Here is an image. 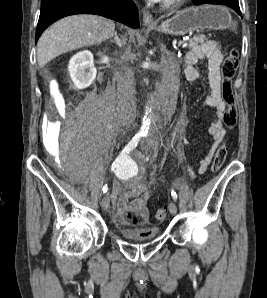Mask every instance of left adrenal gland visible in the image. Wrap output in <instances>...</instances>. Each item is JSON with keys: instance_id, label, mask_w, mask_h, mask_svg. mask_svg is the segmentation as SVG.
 <instances>
[{"instance_id": "a2214340", "label": "left adrenal gland", "mask_w": 267, "mask_h": 298, "mask_svg": "<svg viewBox=\"0 0 267 298\" xmlns=\"http://www.w3.org/2000/svg\"><path fill=\"white\" fill-rule=\"evenodd\" d=\"M161 50H162L163 55H167V56L171 55V53L169 51H167L165 45H161Z\"/></svg>"}]
</instances>
